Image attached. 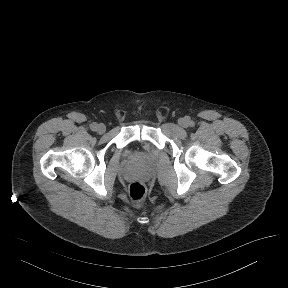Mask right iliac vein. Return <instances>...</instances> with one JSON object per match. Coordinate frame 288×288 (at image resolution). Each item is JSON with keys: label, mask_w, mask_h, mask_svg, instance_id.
<instances>
[{"label": "right iliac vein", "mask_w": 288, "mask_h": 288, "mask_svg": "<svg viewBox=\"0 0 288 288\" xmlns=\"http://www.w3.org/2000/svg\"><path fill=\"white\" fill-rule=\"evenodd\" d=\"M96 130L99 134H103L106 131V127L104 124H99V125H97Z\"/></svg>", "instance_id": "63e3f726"}]
</instances>
